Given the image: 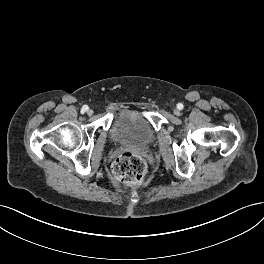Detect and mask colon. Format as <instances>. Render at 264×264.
Returning a JSON list of instances; mask_svg holds the SVG:
<instances>
[{
	"mask_svg": "<svg viewBox=\"0 0 264 264\" xmlns=\"http://www.w3.org/2000/svg\"><path fill=\"white\" fill-rule=\"evenodd\" d=\"M147 171L142 157L131 152L119 155L112 165L113 176L123 185H138L144 180Z\"/></svg>",
	"mask_w": 264,
	"mask_h": 264,
	"instance_id": "5ec220e1",
	"label": "colon"
}]
</instances>
